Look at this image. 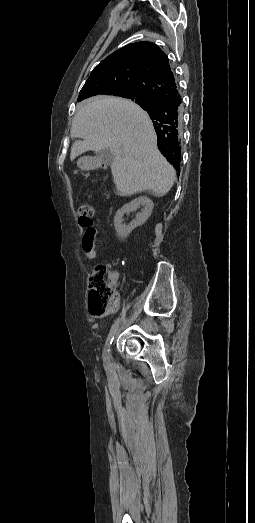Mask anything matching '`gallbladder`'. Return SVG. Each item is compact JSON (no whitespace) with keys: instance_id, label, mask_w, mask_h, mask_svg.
<instances>
[{"instance_id":"obj_1","label":"gallbladder","mask_w":255,"mask_h":523,"mask_svg":"<svg viewBox=\"0 0 255 523\" xmlns=\"http://www.w3.org/2000/svg\"><path fill=\"white\" fill-rule=\"evenodd\" d=\"M95 154H97L98 158H101L107 166H111L114 162V156L109 148H106V150H100V152H95Z\"/></svg>"}]
</instances>
